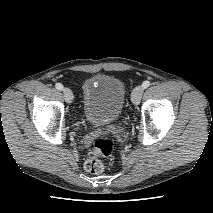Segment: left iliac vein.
<instances>
[{"mask_svg": "<svg viewBox=\"0 0 213 213\" xmlns=\"http://www.w3.org/2000/svg\"><path fill=\"white\" fill-rule=\"evenodd\" d=\"M144 92V88L142 86H137L132 91L131 100L134 104H139Z\"/></svg>", "mask_w": 213, "mask_h": 213, "instance_id": "1", "label": "left iliac vein"}]
</instances>
